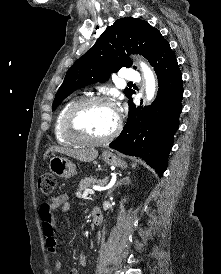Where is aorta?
I'll return each mask as SVG.
<instances>
[{"instance_id": "1", "label": "aorta", "mask_w": 221, "mask_h": 274, "mask_svg": "<svg viewBox=\"0 0 221 274\" xmlns=\"http://www.w3.org/2000/svg\"><path fill=\"white\" fill-rule=\"evenodd\" d=\"M140 67L145 78L146 101L149 103L153 100L156 92L155 77L147 64H145L144 62H140Z\"/></svg>"}]
</instances>
